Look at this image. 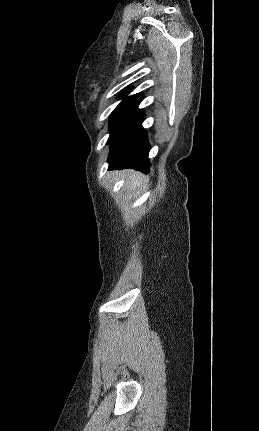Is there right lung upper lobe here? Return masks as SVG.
Returning a JSON list of instances; mask_svg holds the SVG:
<instances>
[{
	"label": "right lung upper lobe",
	"mask_w": 259,
	"mask_h": 431,
	"mask_svg": "<svg viewBox=\"0 0 259 431\" xmlns=\"http://www.w3.org/2000/svg\"><path fill=\"white\" fill-rule=\"evenodd\" d=\"M125 91H127V92L129 93L130 89H126ZM123 92H124V91H123ZM128 93H127V94H128ZM135 95H136V94H135ZM132 96H134V95H132ZM130 97H131V96H130Z\"/></svg>",
	"instance_id": "obj_1"
}]
</instances>
